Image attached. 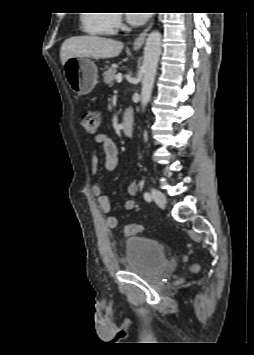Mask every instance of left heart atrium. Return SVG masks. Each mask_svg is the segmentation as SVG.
I'll return each instance as SVG.
<instances>
[{
  "instance_id": "39dd6f15",
  "label": "left heart atrium",
  "mask_w": 254,
  "mask_h": 355,
  "mask_svg": "<svg viewBox=\"0 0 254 355\" xmlns=\"http://www.w3.org/2000/svg\"><path fill=\"white\" fill-rule=\"evenodd\" d=\"M148 18V13H129L128 19L132 25L138 26L143 24Z\"/></svg>"
}]
</instances>
